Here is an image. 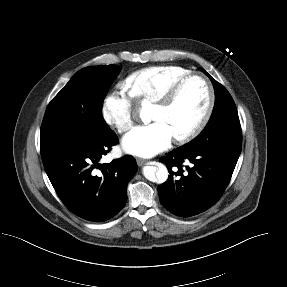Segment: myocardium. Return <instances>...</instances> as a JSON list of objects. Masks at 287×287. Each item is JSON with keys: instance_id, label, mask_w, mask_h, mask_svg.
I'll return each instance as SVG.
<instances>
[{"instance_id": "myocardium-1", "label": "myocardium", "mask_w": 287, "mask_h": 287, "mask_svg": "<svg viewBox=\"0 0 287 287\" xmlns=\"http://www.w3.org/2000/svg\"><path fill=\"white\" fill-rule=\"evenodd\" d=\"M193 78H199L201 79L208 90V104L205 109V112L199 122L187 133L174 137V140L177 143H187L191 140H193L195 137H197L207 126L208 122L210 121V118L212 116V113L214 111L215 103H216V94L215 89L213 87V84L211 81L202 73L198 72H190L187 75L181 77L178 79L169 89L168 91L159 98L155 105L160 108H169L176 100L178 94L180 93L183 86L191 79Z\"/></svg>"}]
</instances>
